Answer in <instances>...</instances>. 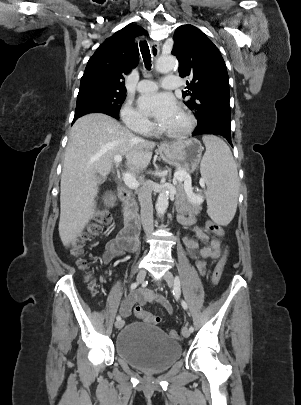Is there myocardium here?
I'll use <instances>...</instances> for the list:
<instances>
[{"label": "myocardium", "instance_id": "obj_1", "mask_svg": "<svg viewBox=\"0 0 301 405\" xmlns=\"http://www.w3.org/2000/svg\"><path fill=\"white\" fill-rule=\"evenodd\" d=\"M181 114L186 121L184 128H182L181 130H178V131H168L163 128H159L158 131L162 135L172 138V139H183V138L189 136L196 127V118L194 117L193 114H191L188 111H183V112H181Z\"/></svg>", "mask_w": 301, "mask_h": 405}]
</instances>
